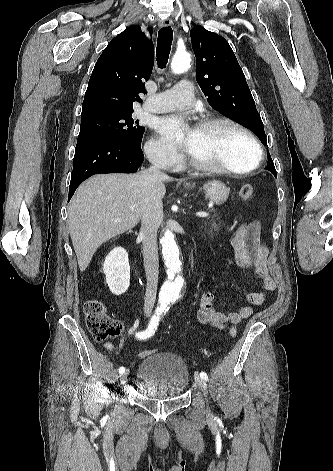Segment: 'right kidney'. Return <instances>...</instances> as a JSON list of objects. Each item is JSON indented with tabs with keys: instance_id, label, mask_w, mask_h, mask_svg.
Listing matches in <instances>:
<instances>
[{
	"instance_id": "right-kidney-1",
	"label": "right kidney",
	"mask_w": 333,
	"mask_h": 471,
	"mask_svg": "<svg viewBox=\"0 0 333 471\" xmlns=\"http://www.w3.org/2000/svg\"><path fill=\"white\" fill-rule=\"evenodd\" d=\"M106 282L112 294L121 295L130 284V266L128 254L122 247L114 248L103 263Z\"/></svg>"
}]
</instances>
